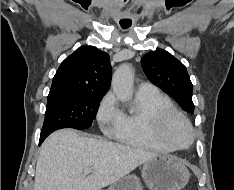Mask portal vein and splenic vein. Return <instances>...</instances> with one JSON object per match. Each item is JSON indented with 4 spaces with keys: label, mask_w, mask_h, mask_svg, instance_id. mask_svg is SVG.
I'll use <instances>...</instances> for the list:
<instances>
[{
    "label": "portal vein and splenic vein",
    "mask_w": 234,
    "mask_h": 190,
    "mask_svg": "<svg viewBox=\"0 0 234 190\" xmlns=\"http://www.w3.org/2000/svg\"><path fill=\"white\" fill-rule=\"evenodd\" d=\"M90 172H91V169H90V168L85 169V170H84V175H88Z\"/></svg>",
    "instance_id": "obj_1"
}]
</instances>
